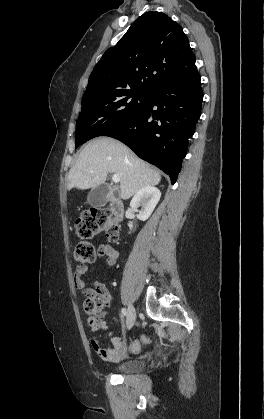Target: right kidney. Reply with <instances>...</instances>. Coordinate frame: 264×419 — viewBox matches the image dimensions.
<instances>
[{"mask_svg":"<svg viewBox=\"0 0 264 419\" xmlns=\"http://www.w3.org/2000/svg\"><path fill=\"white\" fill-rule=\"evenodd\" d=\"M161 197V193L158 188L154 186H147L141 188L132 198L130 207L133 211H136L137 207L142 204L143 209L137 215V218L141 221L147 220L155 209Z\"/></svg>","mask_w":264,"mask_h":419,"instance_id":"1","label":"right kidney"}]
</instances>
